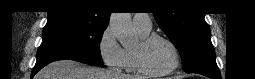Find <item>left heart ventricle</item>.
<instances>
[{
  "mask_svg": "<svg viewBox=\"0 0 255 79\" xmlns=\"http://www.w3.org/2000/svg\"><path fill=\"white\" fill-rule=\"evenodd\" d=\"M145 63L153 71H163L173 62V52L163 40H154L144 52Z\"/></svg>",
  "mask_w": 255,
  "mask_h": 79,
  "instance_id": "1",
  "label": "left heart ventricle"
}]
</instances>
